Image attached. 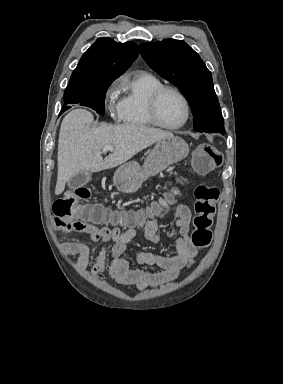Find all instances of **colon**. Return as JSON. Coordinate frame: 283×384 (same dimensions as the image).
Segmentation results:
<instances>
[{
  "label": "colon",
  "instance_id": "1",
  "mask_svg": "<svg viewBox=\"0 0 283 384\" xmlns=\"http://www.w3.org/2000/svg\"><path fill=\"white\" fill-rule=\"evenodd\" d=\"M222 157L216 148L203 143L194 151V168L197 173L206 174L221 163ZM89 188H77L65 193L64 197L56 200L53 212L57 218L67 223L91 221L93 223H110L133 227L144 223L145 215L136 212L112 213L100 206H84L81 203L90 197ZM195 217L194 231L191 236L197 248L207 247L212 239L211 227L216 214V205L220 190L216 185H199L194 191Z\"/></svg>",
  "mask_w": 283,
  "mask_h": 384
}]
</instances>
